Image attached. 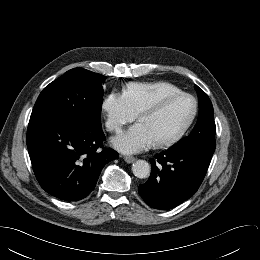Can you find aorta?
Instances as JSON below:
<instances>
[{
	"mask_svg": "<svg viewBox=\"0 0 260 260\" xmlns=\"http://www.w3.org/2000/svg\"><path fill=\"white\" fill-rule=\"evenodd\" d=\"M132 172L137 178H147L151 172L150 164L145 160H137L132 165Z\"/></svg>",
	"mask_w": 260,
	"mask_h": 260,
	"instance_id": "762f6f07",
	"label": "aorta"
}]
</instances>
